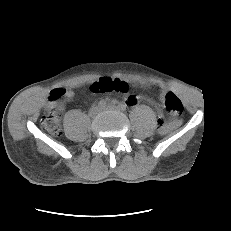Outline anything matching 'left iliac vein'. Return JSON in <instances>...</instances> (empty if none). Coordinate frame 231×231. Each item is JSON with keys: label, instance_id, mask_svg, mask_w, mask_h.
Wrapping results in <instances>:
<instances>
[{"label": "left iliac vein", "instance_id": "4c4485c4", "mask_svg": "<svg viewBox=\"0 0 231 231\" xmlns=\"http://www.w3.org/2000/svg\"><path fill=\"white\" fill-rule=\"evenodd\" d=\"M103 111H113V110H120L118 107H116L115 105H108L104 108H102Z\"/></svg>", "mask_w": 231, "mask_h": 231}]
</instances>
